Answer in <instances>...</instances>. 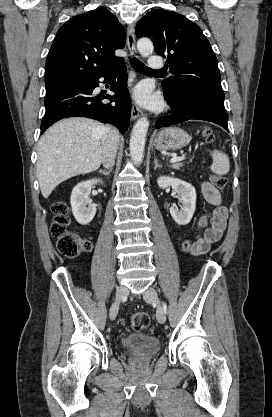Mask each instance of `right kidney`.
<instances>
[{
  "mask_svg": "<svg viewBox=\"0 0 272 417\" xmlns=\"http://www.w3.org/2000/svg\"><path fill=\"white\" fill-rule=\"evenodd\" d=\"M102 183L100 179H91L78 183L72 190L70 203L76 221L81 225L89 224L96 214V205L90 199L92 186Z\"/></svg>",
  "mask_w": 272,
  "mask_h": 417,
  "instance_id": "right-kidney-1",
  "label": "right kidney"
}]
</instances>
